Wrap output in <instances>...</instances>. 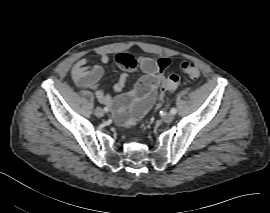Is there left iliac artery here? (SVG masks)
Returning a JSON list of instances; mask_svg holds the SVG:
<instances>
[{
	"mask_svg": "<svg viewBox=\"0 0 270 213\" xmlns=\"http://www.w3.org/2000/svg\"><path fill=\"white\" fill-rule=\"evenodd\" d=\"M170 112H171V114H176L177 113V109L176 108H171V110H170Z\"/></svg>",
	"mask_w": 270,
	"mask_h": 213,
	"instance_id": "44dca946",
	"label": "left iliac artery"
}]
</instances>
